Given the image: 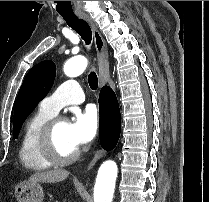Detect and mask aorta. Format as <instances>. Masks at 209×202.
Instances as JSON below:
<instances>
[{
	"mask_svg": "<svg viewBox=\"0 0 209 202\" xmlns=\"http://www.w3.org/2000/svg\"><path fill=\"white\" fill-rule=\"evenodd\" d=\"M87 64L84 56H76L65 62L63 71L68 77H77L85 71ZM117 174V165L112 160L100 166L94 186V202H112Z\"/></svg>",
	"mask_w": 209,
	"mask_h": 202,
	"instance_id": "762f6f07",
	"label": "aorta"
}]
</instances>
